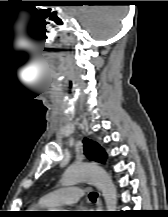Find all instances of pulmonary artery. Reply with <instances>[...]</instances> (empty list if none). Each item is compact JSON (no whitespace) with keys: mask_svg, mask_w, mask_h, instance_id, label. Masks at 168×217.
Masks as SVG:
<instances>
[{"mask_svg":"<svg viewBox=\"0 0 168 217\" xmlns=\"http://www.w3.org/2000/svg\"><path fill=\"white\" fill-rule=\"evenodd\" d=\"M84 195L82 189L76 186L64 187L45 194L41 201L47 207H58L74 204Z\"/></svg>","mask_w":168,"mask_h":217,"instance_id":"1","label":"pulmonary artery"}]
</instances>
